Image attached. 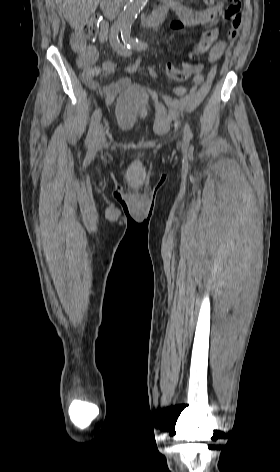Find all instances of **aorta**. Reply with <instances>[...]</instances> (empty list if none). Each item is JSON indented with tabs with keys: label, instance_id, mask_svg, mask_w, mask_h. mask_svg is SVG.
<instances>
[{
	"label": "aorta",
	"instance_id": "1",
	"mask_svg": "<svg viewBox=\"0 0 280 472\" xmlns=\"http://www.w3.org/2000/svg\"><path fill=\"white\" fill-rule=\"evenodd\" d=\"M148 0H129L119 16L118 24L122 29L131 27L138 13L145 7Z\"/></svg>",
	"mask_w": 280,
	"mask_h": 472
}]
</instances>
